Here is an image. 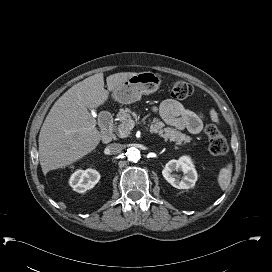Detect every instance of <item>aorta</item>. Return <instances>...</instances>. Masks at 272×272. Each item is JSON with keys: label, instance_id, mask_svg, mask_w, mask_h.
Masks as SVG:
<instances>
[{"label": "aorta", "instance_id": "obj_1", "mask_svg": "<svg viewBox=\"0 0 272 272\" xmlns=\"http://www.w3.org/2000/svg\"><path fill=\"white\" fill-rule=\"evenodd\" d=\"M126 156L129 161L137 162L140 159V151L134 147L127 149Z\"/></svg>", "mask_w": 272, "mask_h": 272}]
</instances>
